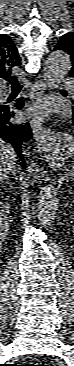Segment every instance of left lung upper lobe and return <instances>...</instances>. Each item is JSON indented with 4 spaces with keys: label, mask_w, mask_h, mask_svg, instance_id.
I'll use <instances>...</instances> for the list:
<instances>
[{
    "label": "left lung upper lobe",
    "mask_w": 74,
    "mask_h": 366,
    "mask_svg": "<svg viewBox=\"0 0 74 366\" xmlns=\"http://www.w3.org/2000/svg\"><path fill=\"white\" fill-rule=\"evenodd\" d=\"M54 50H63L70 55L72 68L69 75L74 78V32L64 34L56 44Z\"/></svg>",
    "instance_id": "left-lung-upper-lobe-1"
}]
</instances>
